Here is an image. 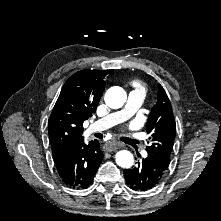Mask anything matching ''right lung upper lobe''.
<instances>
[{
    "instance_id": "cb5924a9",
    "label": "right lung upper lobe",
    "mask_w": 221,
    "mask_h": 221,
    "mask_svg": "<svg viewBox=\"0 0 221 221\" xmlns=\"http://www.w3.org/2000/svg\"><path fill=\"white\" fill-rule=\"evenodd\" d=\"M114 70H82L64 84L48 121L53 158L83 140V122L96 111Z\"/></svg>"
}]
</instances>
